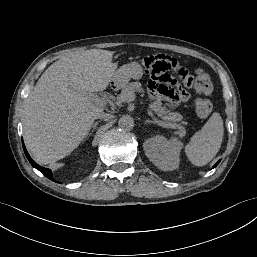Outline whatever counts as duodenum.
<instances>
[{
    "label": "duodenum",
    "instance_id": "obj_1",
    "mask_svg": "<svg viewBox=\"0 0 257 257\" xmlns=\"http://www.w3.org/2000/svg\"><path fill=\"white\" fill-rule=\"evenodd\" d=\"M115 86H116V85L114 84V85H113V88H115Z\"/></svg>",
    "mask_w": 257,
    "mask_h": 257
}]
</instances>
